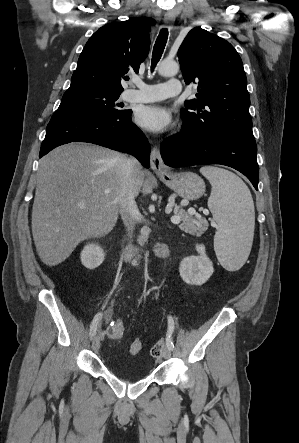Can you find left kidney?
<instances>
[{
	"instance_id": "1",
	"label": "left kidney",
	"mask_w": 299,
	"mask_h": 443,
	"mask_svg": "<svg viewBox=\"0 0 299 443\" xmlns=\"http://www.w3.org/2000/svg\"><path fill=\"white\" fill-rule=\"evenodd\" d=\"M198 256L185 257L179 267L180 276L187 284L200 286L213 274L212 261L205 253L204 245H196Z\"/></svg>"
}]
</instances>
